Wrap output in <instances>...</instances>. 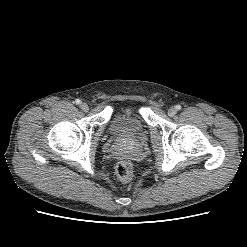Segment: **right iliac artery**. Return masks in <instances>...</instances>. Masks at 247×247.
<instances>
[{"label": "right iliac artery", "instance_id": "82829eb1", "mask_svg": "<svg viewBox=\"0 0 247 247\" xmlns=\"http://www.w3.org/2000/svg\"><path fill=\"white\" fill-rule=\"evenodd\" d=\"M80 102H81V101H80L79 99H76V100H75V103H76V104H80Z\"/></svg>", "mask_w": 247, "mask_h": 247}]
</instances>
